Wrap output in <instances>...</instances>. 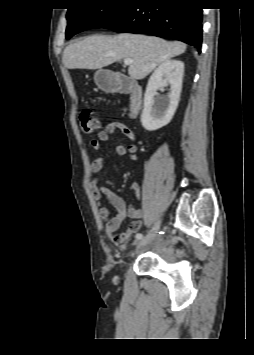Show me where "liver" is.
Masks as SVG:
<instances>
[{"label":"liver","instance_id":"obj_1","mask_svg":"<svg viewBox=\"0 0 254 355\" xmlns=\"http://www.w3.org/2000/svg\"><path fill=\"white\" fill-rule=\"evenodd\" d=\"M186 48L181 42L139 34L91 35L68 45L62 60L68 69L95 70L122 59H132L128 74L140 80L164 61L184 53Z\"/></svg>","mask_w":254,"mask_h":355}]
</instances>
